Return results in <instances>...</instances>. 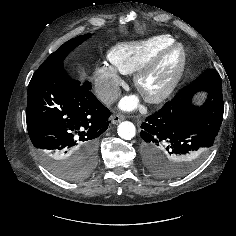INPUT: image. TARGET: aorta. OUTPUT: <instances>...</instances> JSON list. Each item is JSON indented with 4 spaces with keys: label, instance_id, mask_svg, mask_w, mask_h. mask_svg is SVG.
<instances>
[{
    "label": "aorta",
    "instance_id": "1",
    "mask_svg": "<svg viewBox=\"0 0 236 236\" xmlns=\"http://www.w3.org/2000/svg\"><path fill=\"white\" fill-rule=\"evenodd\" d=\"M118 135L124 140H131L136 135V129L133 123L129 121L121 122L118 125Z\"/></svg>",
    "mask_w": 236,
    "mask_h": 236
}]
</instances>
